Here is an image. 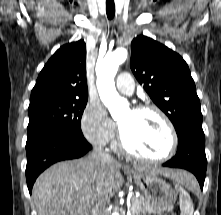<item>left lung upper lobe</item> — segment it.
Segmentation results:
<instances>
[{
	"mask_svg": "<svg viewBox=\"0 0 221 215\" xmlns=\"http://www.w3.org/2000/svg\"><path fill=\"white\" fill-rule=\"evenodd\" d=\"M131 69L153 102L169 117L181 138L187 130L202 129L200 101L184 59L146 36L131 42Z\"/></svg>",
	"mask_w": 221,
	"mask_h": 215,
	"instance_id": "5c2ea615",
	"label": "left lung upper lobe"
}]
</instances>
